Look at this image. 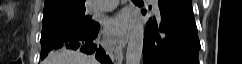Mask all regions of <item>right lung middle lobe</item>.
<instances>
[{
	"mask_svg": "<svg viewBox=\"0 0 242 64\" xmlns=\"http://www.w3.org/2000/svg\"><path fill=\"white\" fill-rule=\"evenodd\" d=\"M98 26L85 14V6L43 13L41 52L54 43L91 33Z\"/></svg>",
	"mask_w": 242,
	"mask_h": 64,
	"instance_id": "obj_1",
	"label": "right lung middle lobe"
}]
</instances>
